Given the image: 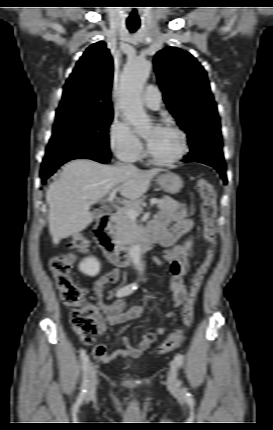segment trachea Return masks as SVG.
Here are the masks:
<instances>
[{
    "label": "trachea",
    "instance_id": "trachea-1",
    "mask_svg": "<svg viewBox=\"0 0 273 430\" xmlns=\"http://www.w3.org/2000/svg\"><path fill=\"white\" fill-rule=\"evenodd\" d=\"M139 26L140 25L138 23H128L127 24V27L131 33L135 32L139 28Z\"/></svg>",
    "mask_w": 273,
    "mask_h": 430
}]
</instances>
